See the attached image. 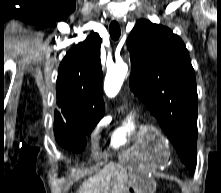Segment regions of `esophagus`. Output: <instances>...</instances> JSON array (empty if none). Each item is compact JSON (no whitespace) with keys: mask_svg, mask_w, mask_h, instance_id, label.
I'll return each mask as SVG.
<instances>
[{"mask_svg":"<svg viewBox=\"0 0 221 193\" xmlns=\"http://www.w3.org/2000/svg\"><path fill=\"white\" fill-rule=\"evenodd\" d=\"M116 20H117L118 22H122V20H121V19H119V18H116Z\"/></svg>","mask_w":221,"mask_h":193,"instance_id":"1","label":"esophagus"}]
</instances>
